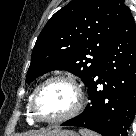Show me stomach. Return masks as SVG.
<instances>
[{"mask_svg":"<svg viewBox=\"0 0 136 136\" xmlns=\"http://www.w3.org/2000/svg\"><path fill=\"white\" fill-rule=\"evenodd\" d=\"M48 136H78L75 132L71 130H61V129H53V131Z\"/></svg>","mask_w":136,"mask_h":136,"instance_id":"1","label":"stomach"}]
</instances>
